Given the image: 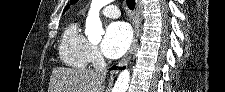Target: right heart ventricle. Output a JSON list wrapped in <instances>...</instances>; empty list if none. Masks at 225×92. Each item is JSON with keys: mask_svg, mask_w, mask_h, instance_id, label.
Wrapping results in <instances>:
<instances>
[{"mask_svg": "<svg viewBox=\"0 0 225 92\" xmlns=\"http://www.w3.org/2000/svg\"><path fill=\"white\" fill-rule=\"evenodd\" d=\"M91 43L79 31L77 22L65 28L60 45L59 56L68 66L84 69L89 63Z\"/></svg>", "mask_w": 225, "mask_h": 92, "instance_id": "1", "label": "right heart ventricle"}]
</instances>
